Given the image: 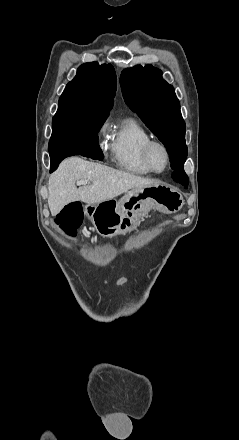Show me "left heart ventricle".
Segmentation results:
<instances>
[{
	"mask_svg": "<svg viewBox=\"0 0 239 440\" xmlns=\"http://www.w3.org/2000/svg\"><path fill=\"white\" fill-rule=\"evenodd\" d=\"M152 160H153L154 167L157 170L162 171V170L165 169V167H166V156H165L164 151L161 148L156 147V148L153 149V151H152Z\"/></svg>",
	"mask_w": 239,
	"mask_h": 440,
	"instance_id": "b2bd125f",
	"label": "left heart ventricle"
}]
</instances>
